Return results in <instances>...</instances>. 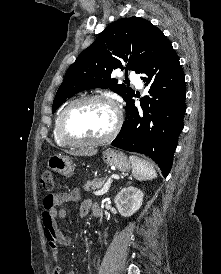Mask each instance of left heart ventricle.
Listing matches in <instances>:
<instances>
[{"label":"left heart ventricle","mask_w":221,"mask_h":274,"mask_svg":"<svg viewBox=\"0 0 221 274\" xmlns=\"http://www.w3.org/2000/svg\"><path fill=\"white\" fill-rule=\"evenodd\" d=\"M114 120V112L109 105L85 103L71 110L67 116L66 128L76 138H99L111 130Z\"/></svg>","instance_id":"b2bd125f"}]
</instances>
